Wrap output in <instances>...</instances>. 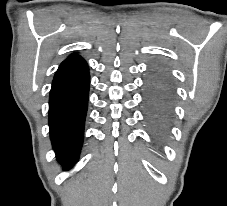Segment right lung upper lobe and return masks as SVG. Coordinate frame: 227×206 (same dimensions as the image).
Returning <instances> with one entry per match:
<instances>
[{
	"instance_id": "obj_1",
	"label": "right lung upper lobe",
	"mask_w": 227,
	"mask_h": 206,
	"mask_svg": "<svg viewBox=\"0 0 227 206\" xmlns=\"http://www.w3.org/2000/svg\"><path fill=\"white\" fill-rule=\"evenodd\" d=\"M78 55H71L70 57H68L67 59H70V58H74V57H77Z\"/></svg>"
}]
</instances>
